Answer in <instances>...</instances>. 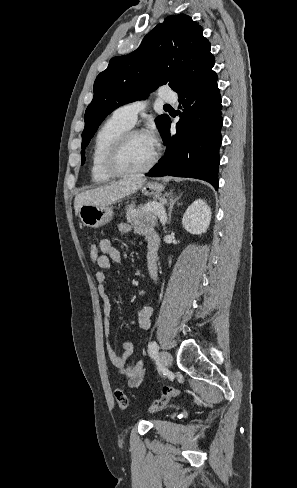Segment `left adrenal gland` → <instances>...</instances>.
I'll use <instances>...</instances> for the list:
<instances>
[{"mask_svg": "<svg viewBox=\"0 0 297 488\" xmlns=\"http://www.w3.org/2000/svg\"><path fill=\"white\" fill-rule=\"evenodd\" d=\"M168 196H169V203H168L169 208H168V219H167V223H169V222H170V219H171V213H172V210H173V208H174V205H175V203L177 202V200L180 198V196H179V197L174 198V197H173V192H172V190L169 192Z\"/></svg>", "mask_w": 297, "mask_h": 488, "instance_id": "1", "label": "left adrenal gland"}]
</instances>
